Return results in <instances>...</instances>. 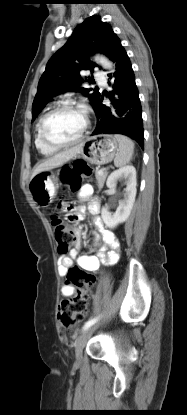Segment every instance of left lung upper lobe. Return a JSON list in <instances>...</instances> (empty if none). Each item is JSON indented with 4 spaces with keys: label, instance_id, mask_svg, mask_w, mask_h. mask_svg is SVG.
I'll return each instance as SVG.
<instances>
[{
    "label": "left lung upper lobe",
    "instance_id": "left-lung-upper-lobe-1",
    "mask_svg": "<svg viewBox=\"0 0 187 415\" xmlns=\"http://www.w3.org/2000/svg\"><path fill=\"white\" fill-rule=\"evenodd\" d=\"M116 38L112 28L102 22L97 15L79 24L66 44L51 57L46 65L33 101L32 121L54 96L65 92H81L88 95L94 108L101 94L97 89L90 93L92 89L81 87L84 79L80 72L82 70L93 72L98 65L89 60V54L103 53L109 56L112 43ZM86 81L93 83L94 79L91 77Z\"/></svg>",
    "mask_w": 187,
    "mask_h": 415
}]
</instances>
